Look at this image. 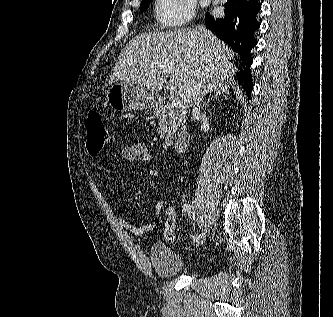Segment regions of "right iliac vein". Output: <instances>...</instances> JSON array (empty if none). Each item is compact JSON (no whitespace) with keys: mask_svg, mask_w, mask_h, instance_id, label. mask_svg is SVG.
<instances>
[{"mask_svg":"<svg viewBox=\"0 0 333 317\" xmlns=\"http://www.w3.org/2000/svg\"><path fill=\"white\" fill-rule=\"evenodd\" d=\"M206 240V234L205 233H201L199 235V239L197 241H194L195 242V245L196 246H199V245H202Z\"/></svg>","mask_w":333,"mask_h":317,"instance_id":"obj_1","label":"right iliac vein"}]
</instances>
